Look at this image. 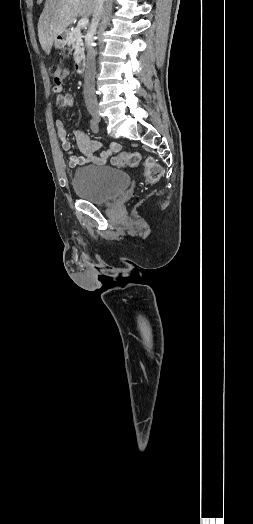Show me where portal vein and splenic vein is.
Listing matches in <instances>:
<instances>
[{
  "label": "portal vein and splenic vein",
  "mask_w": 253,
  "mask_h": 524,
  "mask_svg": "<svg viewBox=\"0 0 253 524\" xmlns=\"http://www.w3.org/2000/svg\"><path fill=\"white\" fill-rule=\"evenodd\" d=\"M88 24V18L87 17H83L79 20L78 24H77V27H85L86 25Z\"/></svg>",
  "instance_id": "18ae733b"
}]
</instances>
